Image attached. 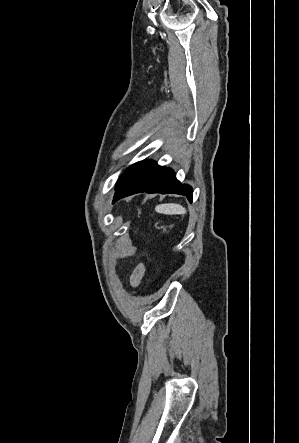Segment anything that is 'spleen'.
I'll use <instances>...</instances> for the list:
<instances>
[{
    "label": "spleen",
    "mask_w": 299,
    "mask_h": 443,
    "mask_svg": "<svg viewBox=\"0 0 299 443\" xmlns=\"http://www.w3.org/2000/svg\"><path fill=\"white\" fill-rule=\"evenodd\" d=\"M155 211L157 213L167 215L186 214V209L182 205L174 203L157 205L155 207Z\"/></svg>",
    "instance_id": "spleen-1"
}]
</instances>
